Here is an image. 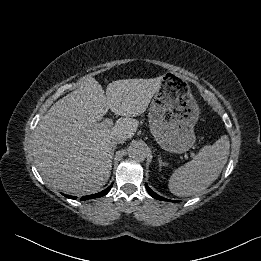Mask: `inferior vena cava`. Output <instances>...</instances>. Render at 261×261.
<instances>
[{
    "label": "inferior vena cava",
    "mask_w": 261,
    "mask_h": 261,
    "mask_svg": "<svg viewBox=\"0 0 261 261\" xmlns=\"http://www.w3.org/2000/svg\"><path fill=\"white\" fill-rule=\"evenodd\" d=\"M124 141H125V138H124V136H122V135H116V136H113L112 138H111V147H115V145H117V144H119V143H124Z\"/></svg>",
    "instance_id": "obj_1"
}]
</instances>
